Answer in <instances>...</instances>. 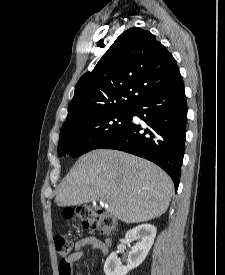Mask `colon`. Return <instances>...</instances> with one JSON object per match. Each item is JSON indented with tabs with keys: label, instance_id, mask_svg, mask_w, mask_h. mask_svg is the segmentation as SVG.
I'll return each instance as SVG.
<instances>
[{
	"label": "colon",
	"instance_id": "obj_1",
	"mask_svg": "<svg viewBox=\"0 0 225 275\" xmlns=\"http://www.w3.org/2000/svg\"><path fill=\"white\" fill-rule=\"evenodd\" d=\"M74 214L79 217L85 228L97 230L103 234L113 232L118 227L117 220L113 215L94 209L91 206H81L75 212H66L65 216L69 217ZM54 244L56 252L63 257L59 264L60 275H72V264L66 259V256L72 250V241L62 235H56Z\"/></svg>",
	"mask_w": 225,
	"mask_h": 275
}]
</instances>
